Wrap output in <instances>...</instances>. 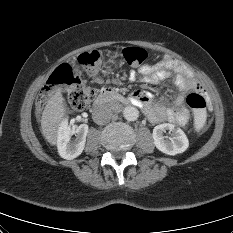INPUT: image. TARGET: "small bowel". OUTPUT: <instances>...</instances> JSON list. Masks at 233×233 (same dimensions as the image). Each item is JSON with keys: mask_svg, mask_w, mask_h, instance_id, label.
I'll use <instances>...</instances> for the list:
<instances>
[{"mask_svg": "<svg viewBox=\"0 0 233 233\" xmlns=\"http://www.w3.org/2000/svg\"><path fill=\"white\" fill-rule=\"evenodd\" d=\"M167 78H172L181 93L167 105L152 102L151 94L140 89L131 95L133 104L141 107L153 122H170L183 126L188 122L189 111L184 105V95L188 90L203 92L199 80L176 59L170 56L162 57L155 64H147L137 71L129 73L132 81L140 80L144 83H157Z\"/></svg>", "mask_w": 233, "mask_h": 233, "instance_id": "c3829d8e", "label": "small bowel"}]
</instances>
